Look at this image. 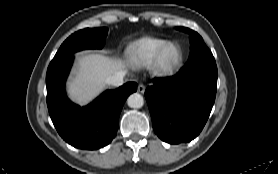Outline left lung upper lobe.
Here are the masks:
<instances>
[{
	"instance_id": "obj_1",
	"label": "left lung upper lobe",
	"mask_w": 278,
	"mask_h": 174,
	"mask_svg": "<svg viewBox=\"0 0 278 174\" xmlns=\"http://www.w3.org/2000/svg\"><path fill=\"white\" fill-rule=\"evenodd\" d=\"M177 29L189 33L190 36V55L183 70L203 67L212 71H217L213 54L205 45L202 37L189 28L178 27Z\"/></svg>"
}]
</instances>
